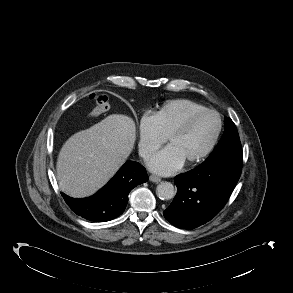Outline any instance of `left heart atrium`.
Returning <instances> with one entry per match:
<instances>
[{
    "mask_svg": "<svg viewBox=\"0 0 293 293\" xmlns=\"http://www.w3.org/2000/svg\"><path fill=\"white\" fill-rule=\"evenodd\" d=\"M184 163L178 152L168 145L150 158L148 167L157 174L169 175L179 170Z\"/></svg>",
    "mask_w": 293,
    "mask_h": 293,
    "instance_id": "39dd6f15",
    "label": "left heart atrium"
}]
</instances>
